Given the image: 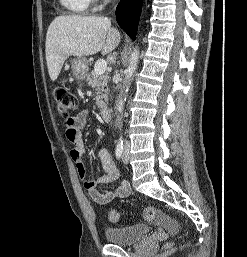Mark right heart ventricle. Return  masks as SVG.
I'll list each match as a JSON object with an SVG mask.
<instances>
[{"label":"right heart ventricle","instance_id":"1","mask_svg":"<svg viewBox=\"0 0 247 257\" xmlns=\"http://www.w3.org/2000/svg\"><path fill=\"white\" fill-rule=\"evenodd\" d=\"M61 5L74 14H86L92 0H59Z\"/></svg>","mask_w":247,"mask_h":257}]
</instances>
